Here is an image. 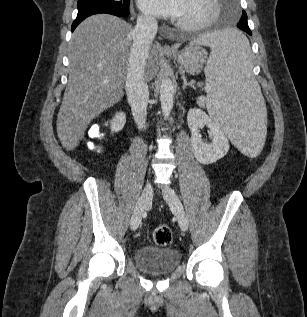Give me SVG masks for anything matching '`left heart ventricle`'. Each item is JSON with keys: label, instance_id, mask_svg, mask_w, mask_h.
<instances>
[{"label": "left heart ventricle", "instance_id": "left-heart-ventricle-1", "mask_svg": "<svg viewBox=\"0 0 307 317\" xmlns=\"http://www.w3.org/2000/svg\"><path fill=\"white\" fill-rule=\"evenodd\" d=\"M211 9L206 0H187L185 9L178 20L181 22H198L206 18Z\"/></svg>", "mask_w": 307, "mask_h": 317}]
</instances>
